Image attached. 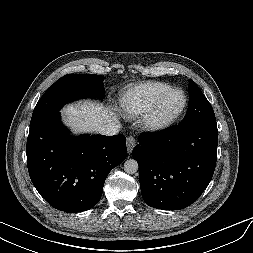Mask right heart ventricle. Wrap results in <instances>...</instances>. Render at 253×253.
<instances>
[{
	"mask_svg": "<svg viewBox=\"0 0 253 253\" xmlns=\"http://www.w3.org/2000/svg\"><path fill=\"white\" fill-rule=\"evenodd\" d=\"M171 85L161 81H146L127 88L120 97V106L128 118L145 115L155 100Z\"/></svg>",
	"mask_w": 253,
	"mask_h": 253,
	"instance_id": "1",
	"label": "right heart ventricle"
}]
</instances>
